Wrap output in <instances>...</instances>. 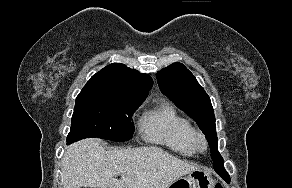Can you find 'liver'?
I'll use <instances>...</instances> for the list:
<instances>
[{"instance_id":"liver-1","label":"liver","mask_w":292,"mask_h":188,"mask_svg":"<svg viewBox=\"0 0 292 188\" xmlns=\"http://www.w3.org/2000/svg\"><path fill=\"white\" fill-rule=\"evenodd\" d=\"M196 169L158 147L105 150L98 139L71 145L62 159L63 188H167Z\"/></svg>"}]
</instances>
